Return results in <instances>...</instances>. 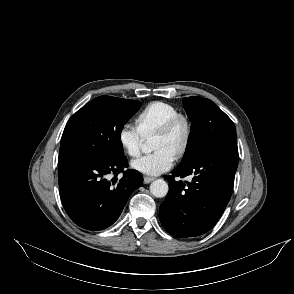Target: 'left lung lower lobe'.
Masks as SVG:
<instances>
[{"mask_svg":"<svg viewBox=\"0 0 294 294\" xmlns=\"http://www.w3.org/2000/svg\"><path fill=\"white\" fill-rule=\"evenodd\" d=\"M238 166L236 140L213 145L202 156L186 166H178L169 181V193L160 205V221L178 238L199 236L208 232L223 214L232 194ZM193 174L190 183L174 177Z\"/></svg>","mask_w":294,"mask_h":294,"instance_id":"left-lung-lower-lobe-1","label":"left lung lower lobe"}]
</instances>
